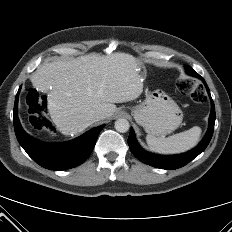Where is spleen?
Returning <instances> with one entry per match:
<instances>
[{"mask_svg": "<svg viewBox=\"0 0 232 232\" xmlns=\"http://www.w3.org/2000/svg\"><path fill=\"white\" fill-rule=\"evenodd\" d=\"M201 128L194 126L191 129L169 136L168 138L156 137L148 134L146 141L149 148L160 154H178L193 148L200 137Z\"/></svg>", "mask_w": 232, "mask_h": 232, "instance_id": "1", "label": "spleen"}]
</instances>
